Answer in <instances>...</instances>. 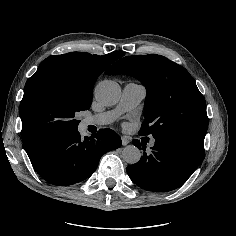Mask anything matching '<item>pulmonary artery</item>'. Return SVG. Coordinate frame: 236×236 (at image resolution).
Segmentation results:
<instances>
[{"label": "pulmonary artery", "mask_w": 236, "mask_h": 236, "mask_svg": "<svg viewBox=\"0 0 236 236\" xmlns=\"http://www.w3.org/2000/svg\"><path fill=\"white\" fill-rule=\"evenodd\" d=\"M146 95L144 86L137 83H127L115 109L86 118V125H106L115 121L120 114L135 108Z\"/></svg>", "instance_id": "1"}]
</instances>
